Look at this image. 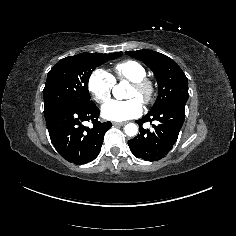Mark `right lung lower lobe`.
I'll return each instance as SVG.
<instances>
[{"label":"right lung lower lobe","mask_w":236,"mask_h":236,"mask_svg":"<svg viewBox=\"0 0 236 236\" xmlns=\"http://www.w3.org/2000/svg\"><path fill=\"white\" fill-rule=\"evenodd\" d=\"M46 124L52 144L68 162L80 165L94 160L103 143L111 122L98 121L99 109L95 103L74 106L58 103L44 108ZM91 121L92 127L83 126Z\"/></svg>","instance_id":"1"}]
</instances>
